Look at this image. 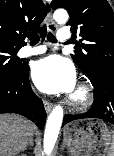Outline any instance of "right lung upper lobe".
Segmentation results:
<instances>
[{
  "instance_id": "right-lung-upper-lobe-1",
  "label": "right lung upper lobe",
  "mask_w": 114,
  "mask_h": 156,
  "mask_svg": "<svg viewBox=\"0 0 114 156\" xmlns=\"http://www.w3.org/2000/svg\"><path fill=\"white\" fill-rule=\"evenodd\" d=\"M49 7L41 0H0V48L19 50L25 43V32H43L39 24Z\"/></svg>"
}]
</instances>
